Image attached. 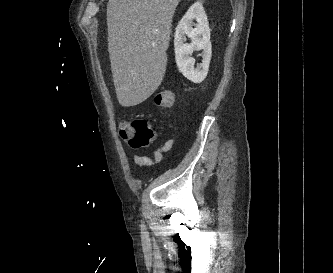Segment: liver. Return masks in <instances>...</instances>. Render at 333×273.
Returning <instances> with one entry per match:
<instances>
[{"label": "liver", "instance_id": "obj_1", "mask_svg": "<svg viewBox=\"0 0 333 273\" xmlns=\"http://www.w3.org/2000/svg\"><path fill=\"white\" fill-rule=\"evenodd\" d=\"M180 0H109L108 51L119 104L136 106L160 86Z\"/></svg>", "mask_w": 333, "mask_h": 273}]
</instances>
